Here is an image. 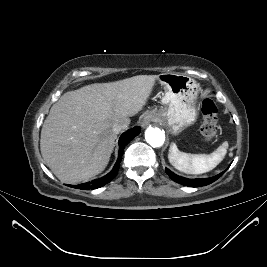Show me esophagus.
<instances>
[{"label": "esophagus", "mask_w": 267, "mask_h": 267, "mask_svg": "<svg viewBox=\"0 0 267 267\" xmlns=\"http://www.w3.org/2000/svg\"><path fill=\"white\" fill-rule=\"evenodd\" d=\"M154 119H155V116L153 114H146L143 118L142 126L145 127L149 125Z\"/></svg>", "instance_id": "1"}]
</instances>
